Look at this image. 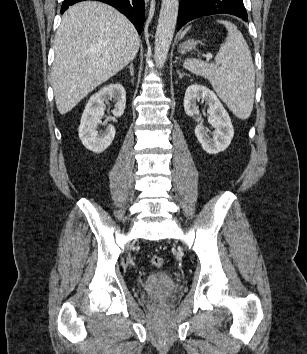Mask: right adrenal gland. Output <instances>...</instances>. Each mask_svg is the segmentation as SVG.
<instances>
[{
	"label": "right adrenal gland",
	"instance_id": "2a0ac1e0",
	"mask_svg": "<svg viewBox=\"0 0 307 354\" xmlns=\"http://www.w3.org/2000/svg\"><path fill=\"white\" fill-rule=\"evenodd\" d=\"M128 68L130 69V74H131V76H133V75H134L133 63H131L130 66H128Z\"/></svg>",
	"mask_w": 307,
	"mask_h": 354
}]
</instances>
